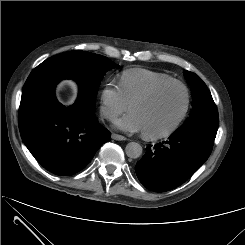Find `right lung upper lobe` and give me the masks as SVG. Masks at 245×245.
<instances>
[{
    "mask_svg": "<svg viewBox=\"0 0 245 245\" xmlns=\"http://www.w3.org/2000/svg\"><path fill=\"white\" fill-rule=\"evenodd\" d=\"M67 75L63 73V71L56 69L52 66L49 59L42 62L39 66H37L29 75V80L35 85L37 88H52V92L54 91V87L58 81L65 78Z\"/></svg>",
    "mask_w": 245,
    "mask_h": 245,
    "instance_id": "1",
    "label": "right lung upper lobe"
}]
</instances>
